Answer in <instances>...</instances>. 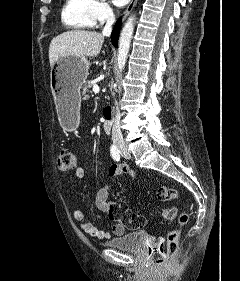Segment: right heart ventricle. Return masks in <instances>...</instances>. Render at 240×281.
<instances>
[{"label":"right heart ventricle","mask_w":240,"mask_h":281,"mask_svg":"<svg viewBox=\"0 0 240 281\" xmlns=\"http://www.w3.org/2000/svg\"><path fill=\"white\" fill-rule=\"evenodd\" d=\"M95 0H65L61 20L67 29L84 30L96 24Z\"/></svg>","instance_id":"1"}]
</instances>
